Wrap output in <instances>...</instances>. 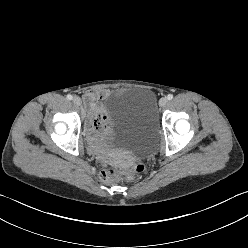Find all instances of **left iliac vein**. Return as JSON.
<instances>
[{
  "mask_svg": "<svg viewBox=\"0 0 248 248\" xmlns=\"http://www.w3.org/2000/svg\"><path fill=\"white\" fill-rule=\"evenodd\" d=\"M168 103V99L166 97H162L160 100H159V106L160 107H165Z\"/></svg>",
  "mask_w": 248,
  "mask_h": 248,
  "instance_id": "4c4485c4",
  "label": "left iliac vein"
}]
</instances>
